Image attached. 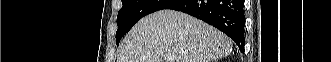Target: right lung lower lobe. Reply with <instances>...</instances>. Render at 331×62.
<instances>
[{
    "instance_id": "98d812e1",
    "label": "right lung lower lobe",
    "mask_w": 331,
    "mask_h": 62,
    "mask_svg": "<svg viewBox=\"0 0 331 62\" xmlns=\"http://www.w3.org/2000/svg\"><path fill=\"white\" fill-rule=\"evenodd\" d=\"M244 0H174L163 9L190 14L228 35L244 50Z\"/></svg>"
}]
</instances>
